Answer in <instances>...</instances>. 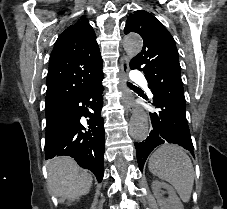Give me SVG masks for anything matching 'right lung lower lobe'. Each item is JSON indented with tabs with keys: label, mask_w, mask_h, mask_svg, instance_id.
I'll list each match as a JSON object with an SVG mask.
<instances>
[{
	"label": "right lung lower lobe",
	"mask_w": 227,
	"mask_h": 209,
	"mask_svg": "<svg viewBox=\"0 0 227 209\" xmlns=\"http://www.w3.org/2000/svg\"><path fill=\"white\" fill-rule=\"evenodd\" d=\"M103 78L100 75L90 80L84 90L58 104L46 118L45 136L46 160L55 156L73 157L81 167L92 171L98 182L104 174ZM82 116L90 118L88 129L80 123Z\"/></svg>",
	"instance_id": "right-lung-lower-lobe-1"
}]
</instances>
